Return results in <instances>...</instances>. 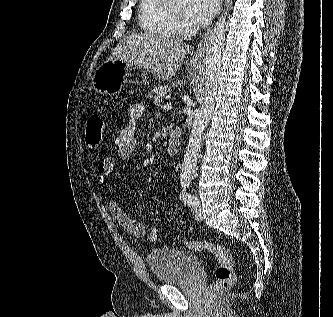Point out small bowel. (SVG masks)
Here are the masks:
<instances>
[{
	"label": "small bowel",
	"mask_w": 333,
	"mask_h": 317,
	"mask_svg": "<svg viewBox=\"0 0 333 317\" xmlns=\"http://www.w3.org/2000/svg\"><path fill=\"white\" fill-rule=\"evenodd\" d=\"M144 113V105L141 102L132 104L128 110L127 125L119 132L114 139L116 148L115 156H106L97 166V183L102 191L105 192V199L108 209L114 221L122 226L130 235L134 237H143L146 234L145 225L127 215L119 203L108 193V187L111 174L114 172L117 160L129 158L136 149V127L137 121Z\"/></svg>",
	"instance_id": "small-bowel-1"
}]
</instances>
